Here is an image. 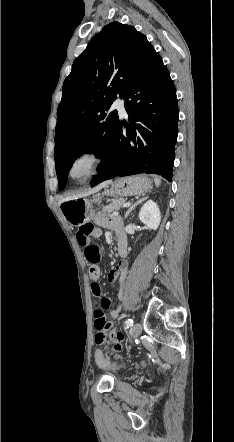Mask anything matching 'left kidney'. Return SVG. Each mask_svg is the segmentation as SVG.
Returning a JSON list of instances; mask_svg holds the SVG:
<instances>
[{"mask_svg":"<svg viewBox=\"0 0 234 442\" xmlns=\"http://www.w3.org/2000/svg\"><path fill=\"white\" fill-rule=\"evenodd\" d=\"M139 219L148 228L156 230L161 222V214L157 203L148 200L140 209Z\"/></svg>","mask_w":234,"mask_h":442,"instance_id":"obj_1","label":"left kidney"}]
</instances>
